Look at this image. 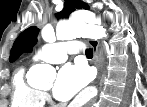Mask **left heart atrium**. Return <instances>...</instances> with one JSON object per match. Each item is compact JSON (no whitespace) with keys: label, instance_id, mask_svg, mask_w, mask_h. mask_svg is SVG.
<instances>
[{"label":"left heart atrium","instance_id":"39dd6f15","mask_svg":"<svg viewBox=\"0 0 147 107\" xmlns=\"http://www.w3.org/2000/svg\"><path fill=\"white\" fill-rule=\"evenodd\" d=\"M90 80L88 69L84 65H65L59 71L53 89L54 96L67 101L79 92Z\"/></svg>","mask_w":147,"mask_h":107}]
</instances>
